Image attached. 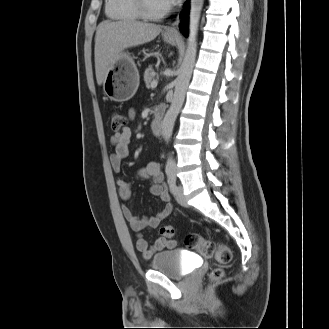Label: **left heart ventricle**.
<instances>
[{"mask_svg": "<svg viewBox=\"0 0 329 329\" xmlns=\"http://www.w3.org/2000/svg\"><path fill=\"white\" fill-rule=\"evenodd\" d=\"M146 1L149 8L153 12H160L168 7L164 0H146Z\"/></svg>", "mask_w": 329, "mask_h": 329, "instance_id": "left-heart-ventricle-1", "label": "left heart ventricle"}]
</instances>
